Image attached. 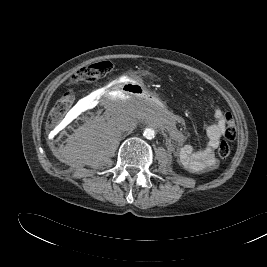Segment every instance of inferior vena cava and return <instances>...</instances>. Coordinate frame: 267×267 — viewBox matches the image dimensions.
I'll list each match as a JSON object with an SVG mask.
<instances>
[{
	"label": "inferior vena cava",
	"instance_id": "obj_1",
	"mask_svg": "<svg viewBox=\"0 0 267 267\" xmlns=\"http://www.w3.org/2000/svg\"><path fill=\"white\" fill-rule=\"evenodd\" d=\"M117 129L131 133L136 128V122L129 116L121 115L116 120Z\"/></svg>",
	"mask_w": 267,
	"mask_h": 267
}]
</instances>
